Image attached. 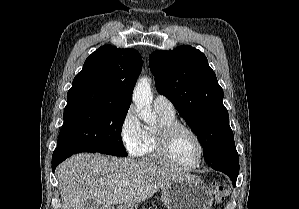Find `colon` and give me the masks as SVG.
<instances>
[{"label":"colon","mask_w":299,"mask_h":209,"mask_svg":"<svg viewBox=\"0 0 299 209\" xmlns=\"http://www.w3.org/2000/svg\"><path fill=\"white\" fill-rule=\"evenodd\" d=\"M214 200L218 203L222 202L230 193V188L224 183H213L211 185Z\"/></svg>","instance_id":"1"}]
</instances>
